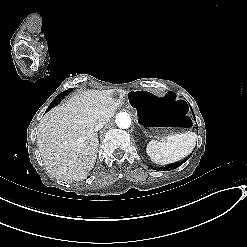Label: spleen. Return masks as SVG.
<instances>
[{
    "mask_svg": "<svg viewBox=\"0 0 247 247\" xmlns=\"http://www.w3.org/2000/svg\"><path fill=\"white\" fill-rule=\"evenodd\" d=\"M197 135L194 132L181 133L151 140L146 153L157 164H167L187 156L195 147Z\"/></svg>",
    "mask_w": 247,
    "mask_h": 247,
    "instance_id": "spleen-1",
    "label": "spleen"
}]
</instances>
